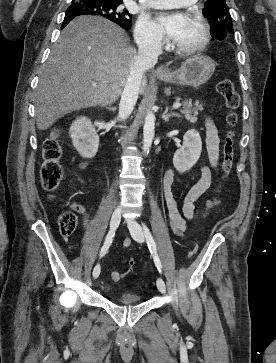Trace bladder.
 Returning <instances> with one entry per match:
<instances>
[{"label": "bladder", "mask_w": 276, "mask_h": 363, "mask_svg": "<svg viewBox=\"0 0 276 363\" xmlns=\"http://www.w3.org/2000/svg\"><path fill=\"white\" fill-rule=\"evenodd\" d=\"M117 302L125 305H133L142 302V298L131 292H123L118 298Z\"/></svg>", "instance_id": "obj_1"}]
</instances>
